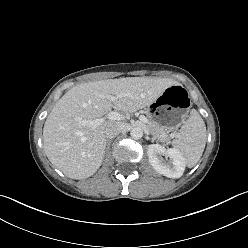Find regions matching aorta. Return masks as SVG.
Instances as JSON below:
<instances>
[{
	"label": "aorta",
	"mask_w": 248,
	"mask_h": 248,
	"mask_svg": "<svg viewBox=\"0 0 248 248\" xmlns=\"http://www.w3.org/2000/svg\"><path fill=\"white\" fill-rule=\"evenodd\" d=\"M131 138L140 139L143 136V130L140 127H134L130 131Z\"/></svg>",
	"instance_id": "1"
}]
</instances>
